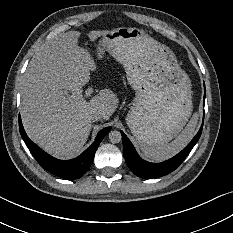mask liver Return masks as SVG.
Instances as JSON below:
<instances>
[{
    "label": "liver",
    "mask_w": 233,
    "mask_h": 233,
    "mask_svg": "<svg viewBox=\"0 0 233 233\" xmlns=\"http://www.w3.org/2000/svg\"><path fill=\"white\" fill-rule=\"evenodd\" d=\"M109 31H90L95 41ZM79 31L56 36L31 59L21 88L20 113L28 135L46 152L58 158H71L87 141L90 115L99 111L109 120L119 105L117 95L104 88L86 101L83 87L91 71L97 70L94 58L78 45ZM64 91L71 94L64 95Z\"/></svg>",
    "instance_id": "liver-1"
}]
</instances>
